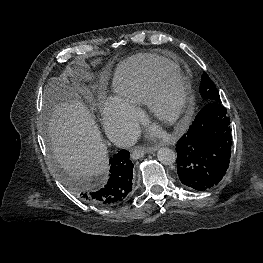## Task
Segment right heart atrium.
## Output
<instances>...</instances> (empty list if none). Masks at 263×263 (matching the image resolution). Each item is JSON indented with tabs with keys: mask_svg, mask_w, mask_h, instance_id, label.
<instances>
[{
	"mask_svg": "<svg viewBox=\"0 0 263 263\" xmlns=\"http://www.w3.org/2000/svg\"><path fill=\"white\" fill-rule=\"evenodd\" d=\"M102 114L109 131L119 132L127 139L136 134L141 115L134 107L116 98H109L103 103Z\"/></svg>",
	"mask_w": 263,
	"mask_h": 263,
	"instance_id": "1",
	"label": "right heart atrium"
}]
</instances>
